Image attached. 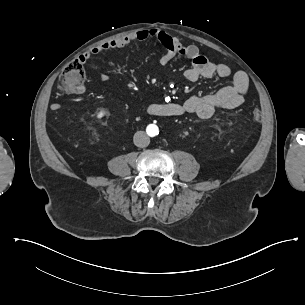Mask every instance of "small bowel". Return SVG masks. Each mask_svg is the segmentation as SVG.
Returning a JSON list of instances; mask_svg holds the SVG:
<instances>
[{
  "label": "small bowel",
  "mask_w": 305,
  "mask_h": 305,
  "mask_svg": "<svg viewBox=\"0 0 305 305\" xmlns=\"http://www.w3.org/2000/svg\"><path fill=\"white\" fill-rule=\"evenodd\" d=\"M155 39L160 42L165 52L159 62L162 65L170 63L176 57H184L191 61V67L184 72V77L189 82H196L200 78H229L232 76V84L220 90L204 96H191L183 101H177L171 97L162 102H154L148 105L150 114L163 116H182L195 114L200 118L211 117L217 109H234L243 104L245 95L249 89V80L245 73L232 74L229 66L222 63H214L203 55L196 45H184L168 32L159 29L141 30L135 33L121 36L103 42L78 57V61L88 62L92 57L106 51L123 48L133 42H142ZM102 82H108L105 74H99ZM78 93L83 92L80 87Z\"/></svg>",
  "instance_id": "obj_1"
}]
</instances>
